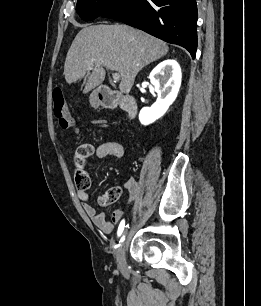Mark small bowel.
Instances as JSON below:
<instances>
[{"label": "small bowel", "mask_w": 261, "mask_h": 306, "mask_svg": "<svg viewBox=\"0 0 261 306\" xmlns=\"http://www.w3.org/2000/svg\"><path fill=\"white\" fill-rule=\"evenodd\" d=\"M92 154L98 158L115 157L123 158L125 155V148L117 142H106L99 145ZM75 181L77 184V196L82 202V206L91 219L93 224L105 233H111L115 225L122 219L124 215V208H118L113 211L110 220L106 218L103 212H99L90 202L88 188L90 186V177L86 171V167H75ZM125 189L129 193V201L135 200L139 193V185L135 178H129L125 182Z\"/></svg>", "instance_id": "small-bowel-1"}]
</instances>
